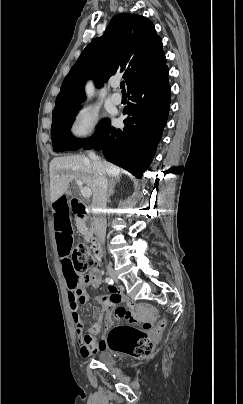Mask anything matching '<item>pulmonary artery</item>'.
Returning <instances> with one entry per match:
<instances>
[{
	"mask_svg": "<svg viewBox=\"0 0 243 404\" xmlns=\"http://www.w3.org/2000/svg\"><path fill=\"white\" fill-rule=\"evenodd\" d=\"M119 86H120V78L119 77H114L111 80V87L113 88V93L111 95V99L115 104H120L122 102V94L119 91Z\"/></svg>",
	"mask_w": 243,
	"mask_h": 404,
	"instance_id": "pulmonary-artery-1",
	"label": "pulmonary artery"
}]
</instances>
